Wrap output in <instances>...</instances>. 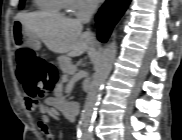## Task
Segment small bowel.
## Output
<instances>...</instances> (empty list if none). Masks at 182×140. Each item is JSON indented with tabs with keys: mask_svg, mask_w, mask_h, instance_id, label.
I'll return each instance as SVG.
<instances>
[{
	"mask_svg": "<svg viewBox=\"0 0 182 140\" xmlns=\"http://www.w3.org/2000/svg\"><path fill=\"white\" fill-rule=\"evenodd\" d=\"M25 105L28 111H38L40 119L37 123L38 129L43 133L48 140H60V135L55 132L50 125V116L47 106L43 103H33L28 98L25 99Z\"/></svg>",
	"mask_w": 182,
	"mask_h": 140,
	"instance_id": "small-bowel-1",
	"label": "small bowel"
}]
</instances>
